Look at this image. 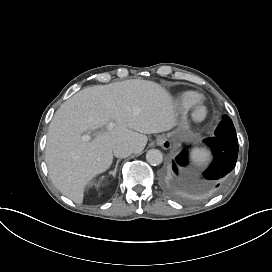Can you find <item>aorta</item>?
<instances>
[{"label": "aorta", "mask_w": 272, "mask_h": 272, "mask_svg": "<svg viewBox=\"0 0 272 272\" xmlns=\"http://www.w3.org/2000/svg\"><path fill=\"white\" fill-rule=\"evenodd\" d=\"M146 160L151 165L157 166L160 165L163 161L162 153L157 149L149 150L146 154Z\"/></svg>", "instance_id": "1"}]
</instances>
